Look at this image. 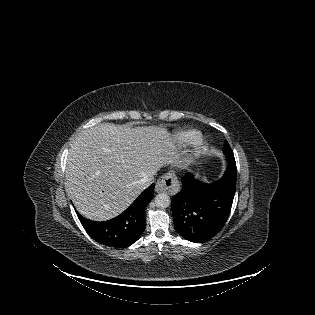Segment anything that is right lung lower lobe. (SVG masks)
Masks as SVG:
<instances>
[{"label": "right lung lower lobe", "instance_id": "obj_1", "mask_svg": "<svg viewBox=\"0 0 315 315\" xmlns=\"http://www.w3.org/2000/svg\"><path fill=\"white\" fill-rule=\"evenodd\" d=\"M153 191L154 184L144 190L123 213L108 221H91L76 213L94 240L109 247L126 248L136 242L144 231L145 208L153 197Z\"/></svg>", "mask_w": 315, "mask_h": 315}]
</instances>
